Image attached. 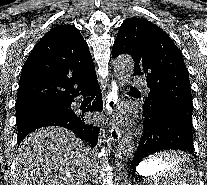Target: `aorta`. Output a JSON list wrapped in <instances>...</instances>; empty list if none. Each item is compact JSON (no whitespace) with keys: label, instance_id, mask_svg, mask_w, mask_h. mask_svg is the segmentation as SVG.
<instances>
[{"label":"aorta","instance_id":"1","mask_svg":"<svg viewBox=\"0 0 207 185\" xmlns=\"http://www.w3.org/2000/svg\"><path fill=\"white\" fill-rule=\"evenodd\" d=\"M134 71V61L129 55H121L114 61L115 77L120 86L129 83L131 74ZM134 154L133 135L130 131L125 133L119 142L115 154V185H126L128 180L129 164Z\"/></svg>","mask_w":207,"mask_h":185}]
</instances>
